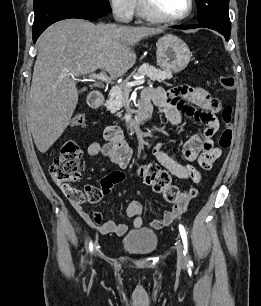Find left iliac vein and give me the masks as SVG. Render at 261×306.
I'll list each match as a JSON object with an SVG mask.
<instances>
[{
	"label": "left iliac vein",
	"mask_w": 261,
	"mask_h": 306,
	"mask_svg": "<svg viewBox=\"0 0 261 306\" xmlns=\"http://www.w3.org/2000/svg\"><path fill=\"white\" fill-rule=\"evenodd\" d=\"M176 249H177V263L178 265L184 267L187 263V259L184 254L183 245L180 241L178 242Z\"/></svg>",
	"instance_id": "left-iliac-vein-1"
}]
</instances>
